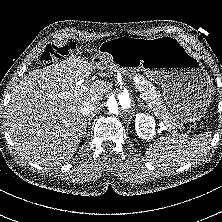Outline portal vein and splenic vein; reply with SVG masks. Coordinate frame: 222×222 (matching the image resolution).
<instances>
[{"mask_svg": "<svg viewBox=\"0 0 222 222\" xmlns=\"http://www.w3.org/2000/svg\"><path fill=\"white\" fill-rule=\"evenodd\" d=\"M80 84H82V81H78V82L76 83V85H80ZM63 94H69V92H64ZM161 124H162V126H164V123H163V122H161ZM167 127H168V126H167ZM169 129H171V126H170ZM176 136H179V137L182 138V139H185V138H186L185 135H182V134H179V133H176Z\"/></svg>", "mask_w": 222, "mask_h": 222, "instance_id": "18ae733b", "label": "portal vein and splenic vein"}]
</instances>
